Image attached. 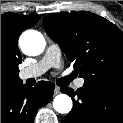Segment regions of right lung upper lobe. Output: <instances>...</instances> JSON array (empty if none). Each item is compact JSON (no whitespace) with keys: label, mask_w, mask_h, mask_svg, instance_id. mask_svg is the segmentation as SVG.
<instances>
[{"label":"right lung upper lobe","mask_w":123,"mask_h":123,"mask_svg":"<svg viewBox=\"0 0 123 123\" xmlns=\"http://www.w3.org/2000/svg\"><path fill=\"white\" fill-rule=\"evenodd\" d=\"M42 15H1V86L23 84L18 76V65L22 62L18 49V38L27 28L35 25Z\"/></svg>","instance_id":"1"}]
</instances>
